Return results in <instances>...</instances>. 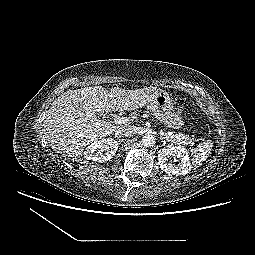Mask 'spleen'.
<instances>
[{"mask_svg": "<svg viewBox=\"0 0 255 255\" xmlns=\"http://www.w3.org/2000/svg\"><path fill=\"white\" fill-rule=\"evenodd\" d=\"M213 147V144L210 140L199 144L197 148L194 149L193 151V158H192V164L197 167L200 165L203 161L206 160L208 157L211 149Z\"/></svg>", "mask_w": 255, "mask_h": 255, "instance_id": "1", "label": "spleen"}]
</instances>
